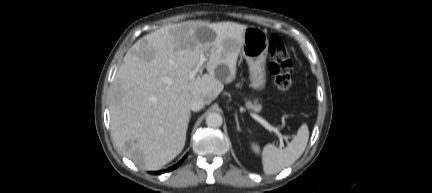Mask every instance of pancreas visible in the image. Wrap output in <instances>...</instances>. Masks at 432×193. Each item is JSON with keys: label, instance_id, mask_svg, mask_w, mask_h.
Wrapping results in <instances>:
<instances>
[{"label": "pancreas", "instance_id": "1", "mask_svg": "<svg viewBox=\"0 0 432 193\" xmlns=\"http://www.w3.org/2000/svg\"><path fill=\"white\" fill-rule=\"evenodd\" d=\"M246 107L255 112H259L262 109V106L260 104H257V102L252 103L251 101L246 102Z\"/></svg>", "mask_w": 432, "mask_h": 193}]
</instances>
